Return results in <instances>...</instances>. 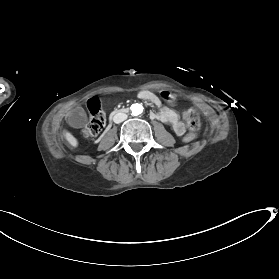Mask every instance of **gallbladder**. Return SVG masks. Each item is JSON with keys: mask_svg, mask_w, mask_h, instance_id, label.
<instances>
[{"mask_svg": "<svg viewBox=\"0 0 279 279\" xmlns=\"http://www.w3.org/2000/svg\"><path fill=\"white\" fill-rule=\"evenodd\" d=\"M69 119L74 126H81L87 123V116L78 110L71 112Z\"/></svg>", "mask_w": 279, "mask_h": 279, "instance_id": "1", "label": "gallbladder"}]
</instances>
